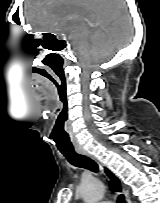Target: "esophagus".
Instances as JSON below:
<instances>
[{
    "label": "esophagus",
    "instance_id": "esophagus-1",
    "mask_svg": "<svg viewBox=\"0 0 160 203\" xmlns=\"http://www.w3.org/2000/svg\"><path fill=\"white\" fill-rule=\"evenodd\" d=\"M76 151L84 156H87L89 158L94 159L99 167L100 170L102 171V173L106 176V178L109 181L110 184V190L113 192H122V194L125 197L126 203H131L130 197H129V193L126 190L125 186L122 184L120 178L109 168L107 167L105 164L101 163L100 161H98L95 157H93L92 155H90L85 149L83 148H76Z\"/></svg>",
    "mask_w": 160,
    "mask_h": 203
}]
</instances>
